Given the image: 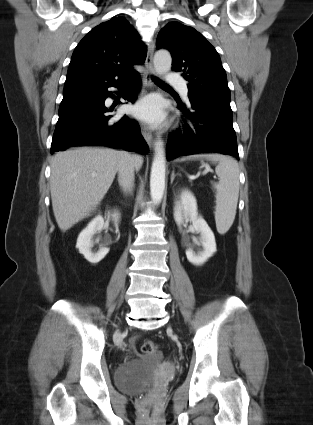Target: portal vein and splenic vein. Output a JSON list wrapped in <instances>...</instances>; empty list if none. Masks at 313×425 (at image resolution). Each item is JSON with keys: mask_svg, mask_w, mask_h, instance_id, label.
I'll use <instances>...</instances> for the list:
<instances>
[{"mask_svg": "<svg viewBox=\"0 0 313 425\" xmlns=\"http://www.w3.org/2000/svg\"><path fill=\"white\" fill-rule=\"evenodd\" d=\"M208 173V170L206 169L204 172H203V175H206ZM189 178L190 179H194V177H192V176H189Z\"/></svg>", "mask_w": 313, "mask_h": 425, "instance_id": "portal-vein-and-splenic-vein-1", "label": "portal vein and splenic vein"}]
</instances>
